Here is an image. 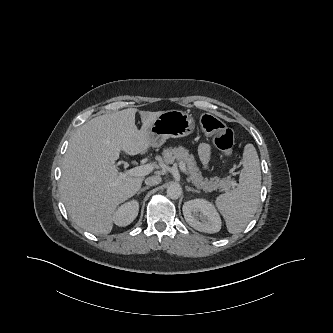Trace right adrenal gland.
<instances>
[{
    "label": "right adrenal gland",
    "mask_w": 333,
    "mask_h": 333,
    "mask_svg": "<svg viewBox=\"0 0 333 333\" xmlns=\"http://www.w3.org/2000/svg\"><path fill=\"white\" fill-rule=\"evenodd\" d=\"M150 186H146L144 188H141L138 192H137V195L141 194L142 192L146 191L147 189H149Z\"/></svg>",
    "instance_id": "1"
}]
</instances>
